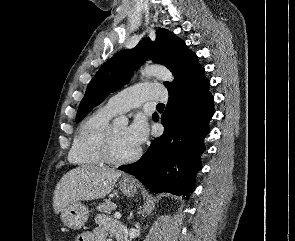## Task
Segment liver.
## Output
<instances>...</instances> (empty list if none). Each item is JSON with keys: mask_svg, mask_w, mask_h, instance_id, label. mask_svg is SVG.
Segmentation results:
<instances>
[{"mask_svg": "<svg viewBox=\"0 0 295 241\" xmlns=\"http://www.w3.org/2000/svg\"><path fill=\"white\" fill-rule=\"evenodd\" d=\"M121 174L114 169L92 165L70 170L54 190V212L58 214L64 207L75 202L105 197L112 191Z\"/></svg>", "mask_w": 295, "mask_h": 241, "instance_id": "obj_1", "label": "liver"}]
</instances>
